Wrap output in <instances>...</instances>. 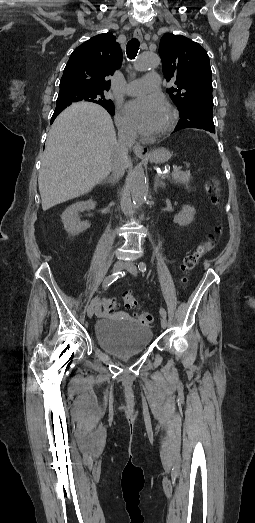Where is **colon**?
<instances>
[{"mask_svg":"<svg viewBox=\"0 0 255 523\" xmlns=\"http://www.w3.org/2000/svg\"><path fill=\"white\" fill-rule=\"evenodd\" d=\"M208 188L214 193L213 202L216 205H219L221 202V195L218 182L216 180H212ZM221 231V226H217L214 232L211 233L204 242L199 244V246L194 251L190 252L184 258L181 266L184 274L183 282L188 280V274L194 269L198 262L214 248ZM123 301L125 307L128 309L134 310L138 305L136 298L129 293L124 295ZM101 308L104 313H112L118 308V304L114 299L106 297L102 300ZM133 316L143 325H150L153 322V315L149 312H134Z\"/></svg>","mask_w":255,"mask_h":523,"instance_id":"5ec220e1","label":"colon"}]
</instances>
